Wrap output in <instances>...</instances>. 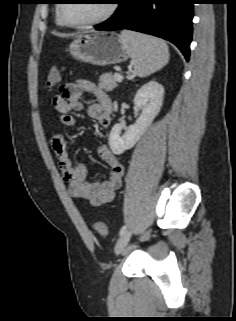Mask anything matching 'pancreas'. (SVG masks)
Masks as SVG:
<instances>
[{
  "mask_svg": "<svg viewBox=\"0 0 236 321\" xmlns=\"http://www.w3.org/2000/svg\"><path fill=\"white\" fill-rule=\"evenodd\" d=\"M98 86L100 89L109 92L118 86V81L114 78V75L105 73L100 76Z\"/></svg>",
  "mask_w": 236,
  "mask_h": 321,
  "instance_id": "1",
  "label": "pancreas"
}]
</instances>
